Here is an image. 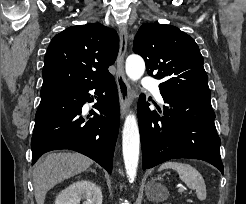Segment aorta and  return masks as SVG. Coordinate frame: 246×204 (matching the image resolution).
<instances>
[{
    "instance_id": "762f6f07",
    "label": "aorta",
    "mask_w": 246,
    "mask_h": 204,
    "mask_svg": "<svg viewBox=\"0 0 246 204\" xmlns=\"http://www.w3.org/2000/svg\"><path fill=\"white\" fill-rule=\"evenodd\" d=\"M126 74L132 81L139 80L145 72V62L139 55L132 54L126 59ZM140 148V135L134 114H129L122 131V149L126 174L130 182L136 177Z\"/></svg>"
}]
</instances>
